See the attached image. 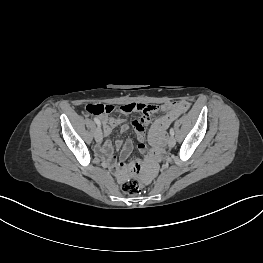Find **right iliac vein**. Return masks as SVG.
Masks as SVG:
<instances>
[{"label":"right iliac vein","instance_id":"1","mask_svg":"<svg viewBox=\"0 0 263 263\" xmlns=\"http://www.w3.org/2000/svg\"><path fill=\"white\" fill-rule=\"evenodd\" d=\"M94 137H95V140L97 143H101L102 142V130L101 128L98 126L95 130V133H94Z\"/></svg>","mask_w":263,"mask_h":263}]
</instances>
